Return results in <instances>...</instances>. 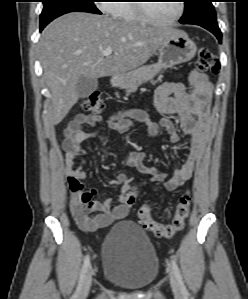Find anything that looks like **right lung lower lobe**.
Here are the masks:
<instances>
[{
    "mask_svg": "<svg viewBox=\"0 0 248 299\" xmlns=\"http://www.w3.org/2000/svg\"><path fill=\"white\" fill-rule=\"evenodd\" d=\"M45 26L46 25H40V31H42Z\"/></svg>",
    "mask_w": 248,
    "mask_h": 299,
    "instance_id": "1",
    "label": "right lung lower lobe"
}]
</instances>
